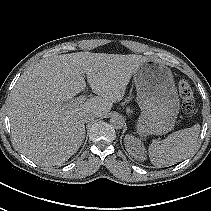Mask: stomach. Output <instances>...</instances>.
<instances>
[{
	"mask_svg": "<svg viewBox=\"0 0 211 211\" xmlns=\"http://www.w3.org/2000/svg\"><path fill=\"white\" fill-rule=\"evenodd\" d=\"M133 80L141 110L137 130L143 136L171 131L180 108L171 70L157 60L147 59L141 62Z\"/></svg>",
	"mask_w": 211,
	"mask_h": 211,
	"instance_id": "obj_1",
	"label": "stomach"
}]
</instances>
